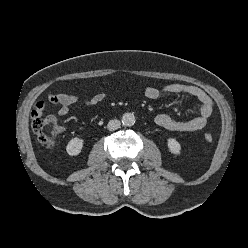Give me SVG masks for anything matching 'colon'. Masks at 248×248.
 <instances>
[{
    "instance_id": "1",
    "label": "colon",
    "mask_w": 248,
    "mask_h": 248,
    "mask_svg": "<svg viewBox=\"0 0 248 248\" xmlns=\"http://www.w3.org/2000/svg\"><path fill=\"white\" fill-rule=\"evenodd\" d=\"M33 130L43 145L49 148L55 146L59 126L53 117L37 118L33 121ZM204 140L210 143L213 140V136L210 133H205Z\"/></svg>"
}]
</instances>
